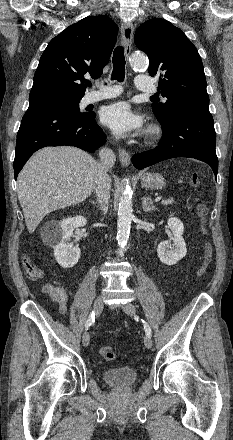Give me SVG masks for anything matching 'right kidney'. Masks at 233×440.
I'll return each instance as SVG.
<instances>
[{"label":"right kidney","instance_id":"obj_1","mask_svg":"<svg viewBox=\"0 0 233 440\" xmlns=\"http://www.w3.org/2000/svg\"><path fill=\"white\" fill-rule=\"evenodd\" d=\"M87 220L83 216L69 217L60 222H47L41 233L43 242L54 249V257L63 268H71L78 263L81 255L79 247L70 242L73 231L83 227Z\"/></svg>","mask_w":233,"mask_h":440}]
</instances>
